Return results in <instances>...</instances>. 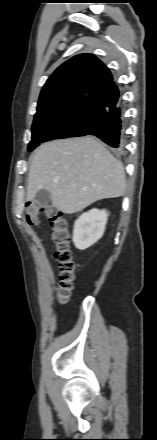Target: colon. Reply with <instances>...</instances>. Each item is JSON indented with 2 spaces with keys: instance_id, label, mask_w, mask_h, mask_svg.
Here are the masks:
<instances>
[{
  "instance_id": "1",
  "label": "colon",
  "mask_w": 157,
  "mask_h": 440,
  "mask_svg": "<svg viewBox=\"0 0 157 440\" xmlns=\"http://www.w3.org/2000/svg\"><path fill=\"white\" fill-rule=\"evenodd\" d=\"M41 215L48 218L51 239L56 246L55 258L59 263L60 275L58 300L61 304L68 301L73 289L75 264L70 251L69 223L66 216L53 206H43L33 201L26 204V219L37 226Z\"/></svg>"
}]
</instances>
